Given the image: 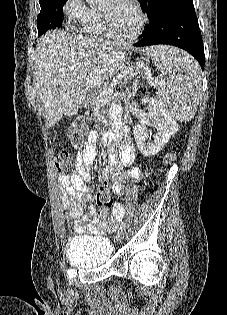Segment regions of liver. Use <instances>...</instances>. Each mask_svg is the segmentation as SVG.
<instances>
[{
  "mask_svg": "<svg viewBox=\"0 0 227 315\" xmlns=\"http://www.w3.org/2000/svg\"><path fill=\"white\" fill-rule=\"evenodd\" d=\"M115 48L111 42L64 30L49 31L40 37L33 81L44 105L47 127L57 124L63 115L77 114L80 93L88 78L111 72L119 59L116 56L122 62L123 55Z\"/></svg>",
  "mask_w": 227,
  "mask_h": 315,
  "instance_id": "1",
  "label": "liver"
}]
</instances>
